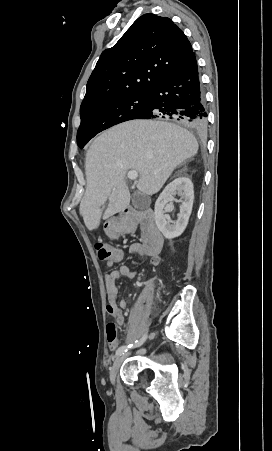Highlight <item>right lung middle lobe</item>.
Segmentation results:
<instances>
[{
	"label": "right lung middle lobe",
	"mask_w": 272,
	"mask_h": 451,
	"mask_svg": "<svg viewBox=\"0 0 272 451\" xmlns=\"http://www.w3.org/2000/svg\"><path fill=\"white\" fill-rule=\"evenodd\" d=\"M149 94L131 95L105 101L80 113L77 144L83 148L99 132L121 122L138 118L148 107Z\"/></svg>",
	"instance_id": "obj_1"
}]
</instances>
